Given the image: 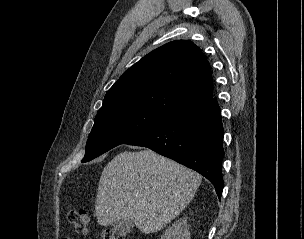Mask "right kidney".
<instances>
[{"label":"right kidney","instance_id":"obj_1","mask_svg":"<svg viewBox=\"0 0 304 239\" xmlns=\"http://www.w3.org/2000/svg\"><path fill=\"white\" fill-rule=\"evenodd\" d=\"M161 239H190L189 226H187L186 220L180 219L172 224L161 236Z\"/></svg>","mask_w":304,"mask_h":239}]
</instances>
